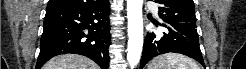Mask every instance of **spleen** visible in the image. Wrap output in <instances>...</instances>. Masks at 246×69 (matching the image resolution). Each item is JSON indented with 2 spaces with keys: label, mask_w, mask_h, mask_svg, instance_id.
Masks as SVG:
<instances>
[{
  "label": "spleen",
  "mask_w": 246,
  "mask_h": 69,
  "mask_svg": "<svg viewBox=\"0 0 246 69\" xmlns=\"http://www.w3.org/2000/svg\"><path fill=\"white\" fill-rule=\"evenodd\" d=\"M151 67L152 69H199L194 60L176 53L157 57Z\"/></svg>",
  "instance_id": "spleen-1"
}]
</instances>
